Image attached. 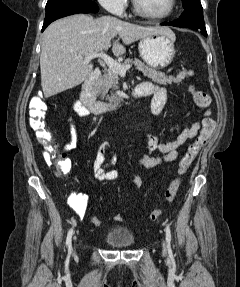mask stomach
<instances>
[{
	"instance_id": "obj_1",
	"label": "stomach",
	"mask_w": 240,
	"mask_h": 287,
	"mask_svg": "<svg viewBox=\"0 0 240 287\" xmlns=\"http://www.w3.org/2000/svg\"><path fill=\"white\" fill-rule=\"evenodd\" d=\"M175 34H153L141 38L138 44L140 57L153 68H165L175 56Z\"/></svg>"
}]
</instances>
